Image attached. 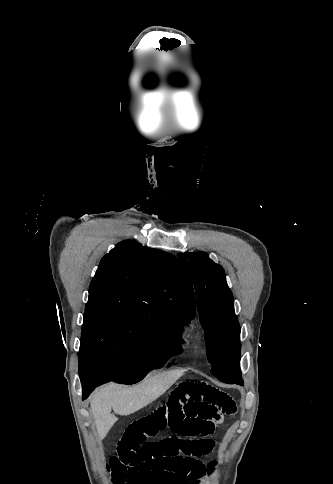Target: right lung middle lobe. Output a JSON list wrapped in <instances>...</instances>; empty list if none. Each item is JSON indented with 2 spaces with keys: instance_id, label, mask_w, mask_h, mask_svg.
I'll return each mask as SVG.
<instances>
[{
  "instance_id": "dd1d6c3e",
  "label": "right lung middle lobe",
  "mask_w": 333,
  "mask_h": 484,
  "mask_svg": "<svg viewBox=\"0 0 333 484\" xmlns=\"http://www.w3.org/2000/svg\"><path fill=\"white\" fill-rule=\"evenodd\" d=\"M177 315L147 316L125 310L85 311L79 350L80 379L96 373L133 384L181 352ZM110 380V381H111Z\"/></svg>"
}]
</instances>
